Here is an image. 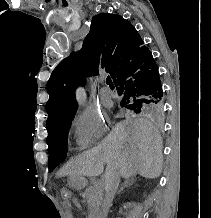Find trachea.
Masks as SVG:
<instances>
[{
    "label": "trachea",
    "mask_w": 211,
    "mask_h": 218,
    "mask_svg": "<svg viewBox=\"0 0 211 218\" xmlns=\"http://www.w3.org/2000/svg\"><path fill=\"white\" fill-rule=\"evenodd\" d=\"M106 83H107V84L113 83L110 77H107Z\"/></svg>",
    "instance_id": "trachea-1"
}]
</instances>
